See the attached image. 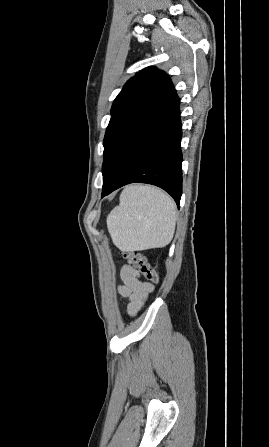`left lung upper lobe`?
<instances>
[{
	"label": "left lung upper lobe",
	"instance_id": "obj_1",
	"mask_svg": "<svg viewBox=\"0 0 269 447\" xmlns=\"http://www.w3.org/2000/svg\"><path fill=\"white\" fill-rule=\"evenodd\" d=\"M175 94L169 77L148 67L124 85L104 137L103 185H109L144 135L167 113Z\"/></svg>",
	"mask_w": 269,
	"mask_h": 447
}]
</instances>
